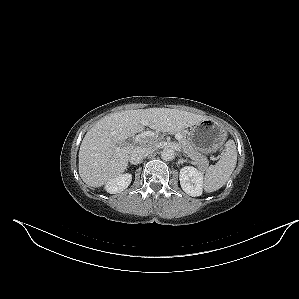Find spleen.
Returning a JSON list of instances; mask_svg holds the SVG:
<instances>
[{
  "mask_svg": "<svg viewBox=\"0 0 299 299\" xmlns=\"http://www.w3.org/2000/svg\"><path fill=\"white\" fill-rule=\"evenodd\" d=\"M237 163L236 145L233 140L225 144V152L221 159L206 169L204 177V190L214 192L225 185L234 171Z\"/></svg>",
  "mask_w": 299,
  "mask_h": 299,
  "instance_id": "1",
  "label": "spleen"
}]
</instances>
